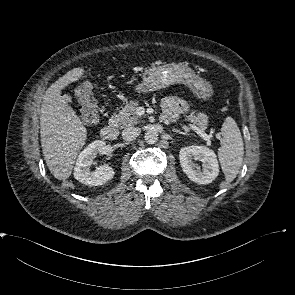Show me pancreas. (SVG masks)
Returning a JSON list of instances; mask_svg holds the SVG:
<instances>
[{
  "instance_id": "1",
  "label": "pancreas",
  "mask_w": 295,
  "mask_h": 295,
  "mask_svg": "<svg viewBox=\"0 0 295 295\" xmlns=\"http://www.w3.org/2000/svg\"><path fill=\"white\" fill-rule=\"evenodd\" d=\"M137 106V101H131L119 110V113L111 117L110 123L116 127L125 128L142 122L141 117L136 113ZM186 120L197 125L202 130L206 129L208 126V116L205 113H196L192 111L190 115L186 116Z\"/></svg>"
}]
</instances>
